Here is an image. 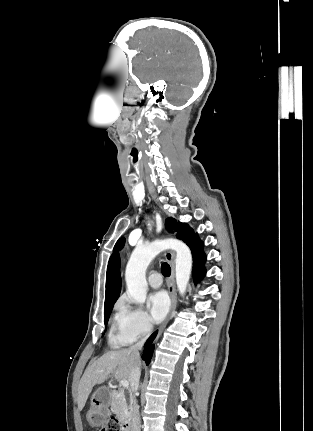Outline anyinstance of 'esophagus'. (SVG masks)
Wrapping results in <instances>:
<instances>
[{
    "instance_id": "esophagus-1",
    "label": "esophagus",
    "mask_w": 313,
    "mask_h": 431,
    "mask_svg": "<svg viewBox=\"0 0 313 431\" xmlns=\"http://www.w3.org/2000/svg\"><path fill=\"white\" fill-rule=\"evenodd\" d=\"M165 257L171 266V276L168 281V290L171 298V308L166 320L164 321V323L161 325L159 329L158 337L162 333L166 325L168 324L169 320L171 319L177 304L176 289H175V254L172 251H166Z\"/></svg>"
}]
</instances>
